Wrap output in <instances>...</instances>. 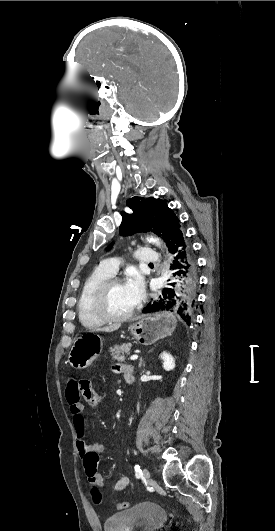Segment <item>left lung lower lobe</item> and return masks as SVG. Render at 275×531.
<instances>
[{"label": "left lung lower lobe", "instance_id": "left-lung-lower-lobe-1", "mask_svg": "<svg viewBox=\"0 0 275 531\" xmlns=\"http://www.w3.org/2000/svg\"><path fill=\"white\" fill-rule=\"evenodd\" d=\"M166 243L174 259L171 266L173 279L162 291L158 300L149 303L143 312H175L187 324H190L194 310L197 308L195 305L198 285L196 258L179 223L173 228Z\"/></svg>", "mask_w": 275, "mask_h": 531}]
</instances>
